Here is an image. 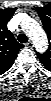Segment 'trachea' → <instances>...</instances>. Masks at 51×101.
<instances>
[{"instance_id": "obj_1", "label": "trachea", "mask_w": 51, "mask_h": 101, "mask_svg": "<svg viewBox=\"0 0 51 101\" xmlns=\"http://www.w3.org/2000/svg\"><path fill=\"white\" fill-rule=\"evenodd\" d=\"M18 41L20 43H26L28 41V38L25 34H19L18 35Z\"/></svg>"}]
</instances>
